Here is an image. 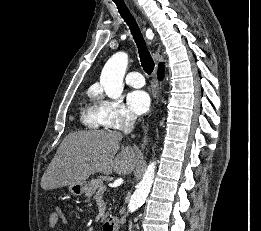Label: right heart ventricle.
I'll return each mask as SVG.
<instances>
[{"mask_svg": "<svg viewBox=\"0 0 261 231\" xmlns=\"http://www.w3.org/2000/svg\"><path fill=\"white\" fill-rule=\"evenodd\" d=\"M89 95L91 97L95 96V92L93 88L89 90ZM80 121L84 126L88 128L99 129L103 127L99 115L98 105L93 102L85 105L80 112Z\"/></svg>", "mask_w": 261, "mask_h": 231, "instance_id": "right-heart-ventricle-1", "label": "right heart ventricle"}]
</instances>
